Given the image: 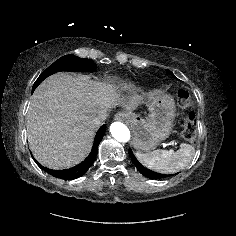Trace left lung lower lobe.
Wrapping results in <instances>:
<instances>
[{
	"label": "left lung lower lobe",
	"instance_id": "obj_1",
	"mask_svg": "<svg viewBox=\"0 0 236 236\" xmlns=\"http://www.w3.org/2000/svg\"><path fill=\"white\" fill-rule=\"evenodd\" d=\"M129 156L132 159V161L135 164V166L137 167V169L140 171V173L143 174L145 177H148L150 179H160V178H165V177L170 176V175L159 174V173L153 172V171L145 168L144 166H142L138 162L136 157L134 156V154H133L131 149H129Z\"/></svg>",
	"mask_w": 236,
	"mask_h": 236
}]
</instances>
